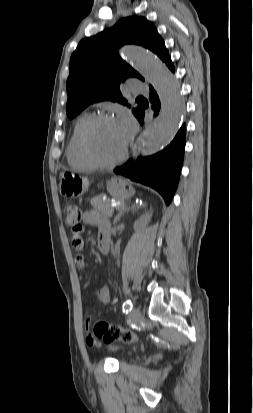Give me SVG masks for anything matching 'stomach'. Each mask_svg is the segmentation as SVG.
<instances>
[{
    "instance_id": "obj_1",
    "label": "stomach",
    "mask_w": 253,
    "mask_h": 413,
    "mask_svg": "<svg viewBox=\"0 0 253 413\" xmlns=\"http://www.w3.org/2000/svg\"><path fill=\"white\" fill-rule=\"evenodd\" d=\"M60 194L69 198L82 196L89 187L86 177L72 172H63L60 178ZM109 194L118 200L130 198L134 194L132 186L121 177H114L107 183Z\"/></svg>"
}]
</instances>
